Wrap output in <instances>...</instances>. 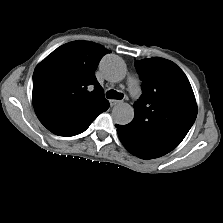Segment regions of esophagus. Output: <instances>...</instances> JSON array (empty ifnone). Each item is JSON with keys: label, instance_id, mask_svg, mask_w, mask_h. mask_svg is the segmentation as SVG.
<instances>
[{"label": "esophagus", "instance_id": "34e87169", "mask_svg": "<svg viewBox=\"0 0 223 223\" xmlns=\"http://www.w3.org/2000/svg\"><path fill=\"white\" fill-rule=\"evenodd\" d=\"M121 101H119V100H114V99H112V100H110V105H111V107H113V106H116L117 104H119Z\"/></svg>", "mask_w": 223, "mask_h": 223}]
</instances>
